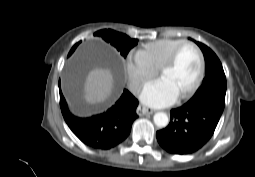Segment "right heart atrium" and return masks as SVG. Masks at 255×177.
<instances>
[{"mask_svg": "<svg viewBox=\"0 0 255 177\" xmlns=\"http://www.w3.org/2000/svg\"><path fill=\"white\" fill-rule=\"evenodd\" d=\"M125 69L133 92H138L149 80L156 76L158 71L139 52L128 55Z\"/></svg>", "mask_w": 255, "mask_h": 177, "instance_id": "1", "label": "right heart atrium"}]
</instances>
